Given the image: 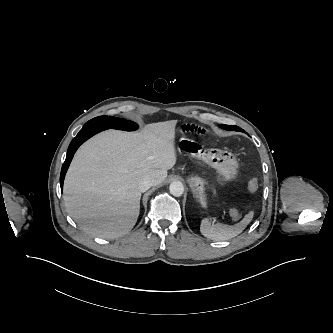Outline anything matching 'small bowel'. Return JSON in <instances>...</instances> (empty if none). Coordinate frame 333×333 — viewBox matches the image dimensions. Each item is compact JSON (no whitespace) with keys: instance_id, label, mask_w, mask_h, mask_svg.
<instances>
[{"instance_id":"c3829d8e","label":"small bowel","mask_w":333,"mask_h":333,"mask_svg":"<svg viewBox=\"0 0 333 333\" xmlns=\"http://www.w3.org/2000/svg\"><path fill=\"white\" fill-rule=\"evenodd\" d=\"M181 130L186 133H198L203 134L205 132V129L194 124V123H183L181 125Z\"/></svg>"}]
</instances>
